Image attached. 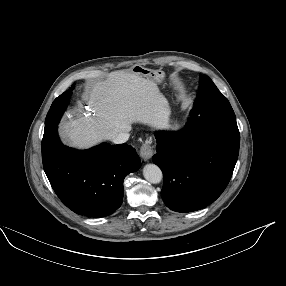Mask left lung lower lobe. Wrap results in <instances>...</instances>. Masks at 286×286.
<instances>
[{
    "mask_svg": "<svg viewBox=\"0 0 286 286\" xmlns=\"http://www.w3.org/2000/svg\"><path fill=\"white\" fill-rule=\"evenodd\" d=\"M179 132L155 133L157 153L152 161L163 172L161 196L176 212L206 207L224 191L239 153L236 118L202 113L201 119Z\"/></svg>",
    "mask_w": 286,
    "mask_h": 286,
    "instance_id": "1",
    "label": "left lung lower lobe"
}]
</instances>
